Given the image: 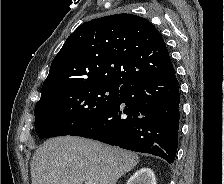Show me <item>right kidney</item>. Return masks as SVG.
I'll list each match as a JSON object with an SVG mask.
<instances>
[{
  "mask_svg": "<svg viewBox=\"0 0 224 184\" xmlns=\"http://www.w3.org/2000/svg\"><path fill=\"white\" fill-rule=\"evenodd\" d=\"M127 184H156L155 174L149 168H142L130 177Z\"/></svg>",
  "mask_w": 224,
  "mask_h": 184,
  "instance_id": "1",
  "label": "right kidney"
}]
</instances>
